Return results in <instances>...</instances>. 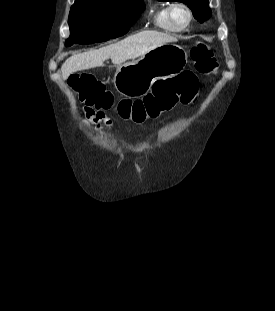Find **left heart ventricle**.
<instances>
[{
    "label": "left heart ventricle",
    "mask_w": 275,
    "mask_h": 311,
    "mask_svg": "<svg viewBox=\"0 0 275 311\" xmlns=\"http://www.w3.org/2000/svg\"><path fill=\"white\" fill-rule=\"evenodd\" d=\"M173 19L176 25L183 26L186 24L188 16L184 9L182 8H176L173 11Z\"/></svg>",
    "instance_id": "left-heart-ventricle-1"
}]
</instances>
